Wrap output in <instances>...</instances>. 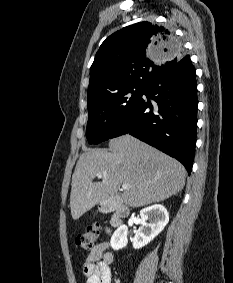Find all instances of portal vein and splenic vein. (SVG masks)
I'll return each mask as SVG.
<instances>
[{"mask_svg":"<svg viewBox=\"0 0 233 283\" xmlns=\"http://www.w3.org/2000/svg\"><path fill=\"white\" fill-rule=\"evenodd\" d=\"M104 175H105V174H104ZM104 175H103V176H104ZM97 177H98V178H101V177H102V174H97ZM129 187H130L129 184H126V183L122 184V188H123V189H128Z\"/></svg>","mask_w":233,"mask_h":283,"instance_id":"obj_1","label":"portal vein and splenic vein"}]
</instances>
